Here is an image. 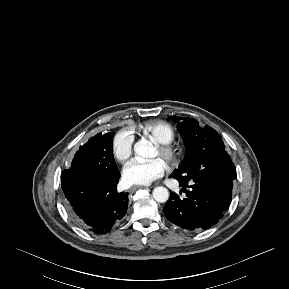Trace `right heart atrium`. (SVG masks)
<instances>
[{
    "mask_svg": "<svg viewBox=\"0 0 289 289\" xmlns=\"http://www.w3.org/2000/svg\"><path fill=\"white\" fill-rule=\"evenodd\" d=\"M134 136L131 131L121 129L115 133L111 142L114 157L120 161H126L132 154Z\"/></svg>",
    "mask_w": 289,
    "mask_h": 289,
    "instance_id": "obj_1",
    "label": "right heart atrium"
}]
</instances>
